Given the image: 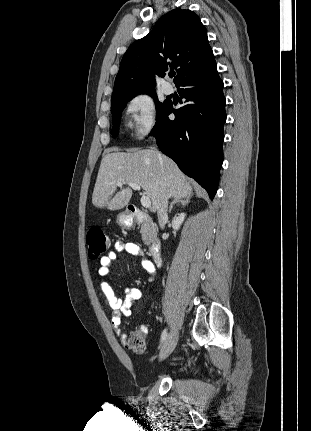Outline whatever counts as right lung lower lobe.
<instances>
[{
    "label": "right lung lower lobe",
    "mask_w": 311,
    "mask_h": 431,
    "mask_svg": "<svg viewBox=\"0 0 311 431\" xmlns=\"http://www.w3.org/2000/svg\"><path fill=\"white\" fill-rule=\"evenodd\" d=\"M180 87L179 94L186 104L174 110L170 103L157 116L152 135L160 150L213 199L223 162V125L226 120L223 82L215 66ZM172 112L174 120L168 118Z\"/></svg>",
    "instance_id": "obj_1"
}]
</instances>
